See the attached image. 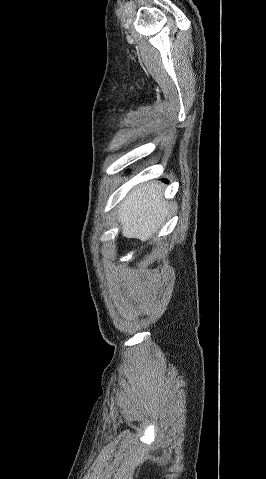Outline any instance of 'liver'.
I'll return each mask as SVG.
<instances>
[{
	"label": "liver",
	"mask_w": 266,
	"mask_h": 479,
	"mask_svg": "<svg viewBox=\"0 0 266 479\" xmlns=\"http://www.w3.org/2000/svg\"><path fill=\"white\" fill-rule=\"evenodd\" d=\"M169 212L157 183H147L132 190L118 208L122 235L150 240L163 226Z\"/></svg>",
	"instance_id": "6515ba94"
}]
</instances>
